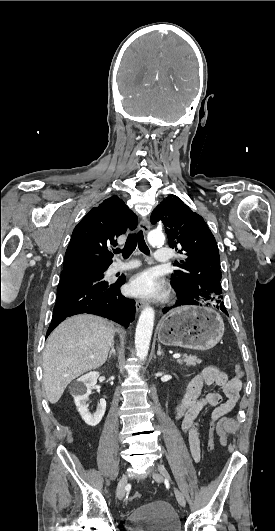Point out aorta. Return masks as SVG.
<instances>
[{
  "instance_id": "obj_1",
  "label": "aorta",
  "mask_w": 275,
  "mask_h": 531,
  "mask_svg": "<svg viewBox=\"0 0 275 531\" xmlns=\"http://www.w3.org/2000/svg\"><path fill=\"white\" fill-rule=\"evenodd\" d=\"M148 239L149 243L156 245V243L162 241L163 233H161V231H151L148 235ZM154 319L155 311L152 307H145V309L141 311L135 333V349L139 361H145L148 355L154 327Z\"/></svg>"
}]
</instances>
